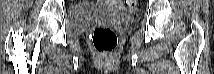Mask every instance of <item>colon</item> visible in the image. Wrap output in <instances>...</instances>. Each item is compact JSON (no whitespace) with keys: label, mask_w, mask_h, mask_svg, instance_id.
I'll return each instance as SVG.
<instances>
[{"label":"colon","mask_w":214,"mask_h":74,"mask_svg":"<svg viewBox=\"0 0 214 74\" xmlns=\"http://www.w3.org/2000/svg\"><path fill=\"white\" fill-rule=\"evenodd\" d=\"M136 0H125V6L129 9L133 8ZM118 42L117 33L109 27H97L93 33V44L97 51L103 54L112 52Z\"/></svg>","instance_id":"colon-1"}]
</instances>
